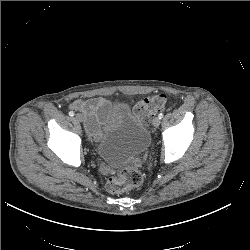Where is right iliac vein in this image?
<instances>
[{
  "label": "right iliac vein",
  "mask_w": 250,
  "mask_h": 250,
  "mask_svg": "<svg viewBox=\"0 0 250 250\" xmlns=\"http://www.w3.org/2000/svg\"><path fill=\"white\" fill-rule=\"evenodd\" d=\"M74 119H75L76 121H78V122H82V121L84 120V117H83L82 114H79V113H78V114L75 115Z\"/></svg>",
  "instance_id": "63e3f726"
}]
</instances>
